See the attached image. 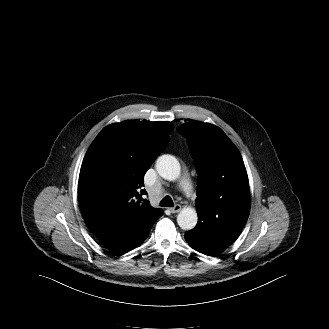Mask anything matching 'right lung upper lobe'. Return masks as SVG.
Segmentation results:
<instances>
[{"instance_id":"1","label":"right lung upper lobe","mask_w":329,"mask_h":329,"mask_svg":"<svg viewBox=\"0 0 329 329\" xmlns=\"http://www.w3.org/2000/svg\"><path fill=\"white\" fill-rule=\"evenodd\" d=\"M171 130L169 122L129 120L105 127L90 145L78 193L86 224L97 238L112 230L144 226L162 214L147 200L141 202L139 191L145 173L165 150Z\"/></svg>"}]
</instances>
